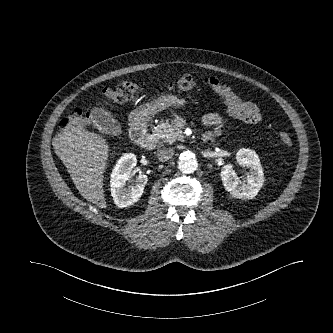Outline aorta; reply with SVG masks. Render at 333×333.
<instances>
[{"mask_svg": "<svg viewBox=\"0 0 333 333\" xmlns=\"http://www.w3.org/2000/svg\"><path fill=\"white\" fill-rule=\"evenodd\" d=\"M178 168L182 173L191 174L198 168L195 154L191 151H183L179 155Z\"/></svg>", "mask_w": 333, "mask_h": 333, "instance_id": "obj_1", "label": "aorta"}]
</instances>
